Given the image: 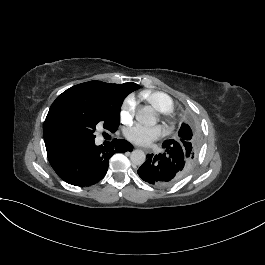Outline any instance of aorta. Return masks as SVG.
Returning <instances> with one entry per match:
<instances>
[{
	"mask_svg": "<svg viewBox=\"0 0 265 265\" xmlns=\"http://www.w3.org/2000/svg\"><path fill=\"white\" fill-rule=\"evenodd\" d=\"M138 122L144 125H153L156 122L154 112L151 107H144L140 109L136 114ZM131 162L135 165H142L146 160V155L142 150H134L130 155Z\"/></svg>",
	"mask_w": 265,
	"mask_h": 265,
	"instance_id": "1",
	"label": "aorta"
}]
</instances>
